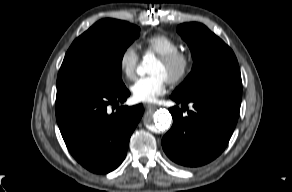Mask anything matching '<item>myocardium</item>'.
<instances>
[{
    "label": "myocardium",
    "mask_w": 292,
    "mask_h": 192,
    "mask_svg": "<svg viewBox=\"0 0 292 192\" xmlns=\"http://www.w3.org/2000/svg\"><path fill=\"white\" fill-rule=\"evenodd\" d=\"M158 59L169 68L170 74L167 80L173 85L183 82L192 69V57L184 51L178 50L160 55Z\"/></svg>",
    "instance_id": "obj_1"
}]
</instances>
